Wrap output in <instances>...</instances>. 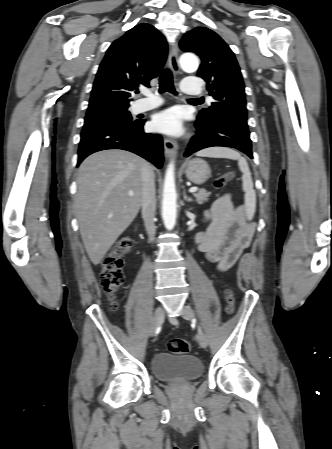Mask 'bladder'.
Listing matches in <instances>:
<instances>
[{"label": "bladder", "mask_w": 332, "mask_h": 449, "mask_svg": "<svg viewBox=\"0 0 332 449\" xmlns=\"http://www.w3.org/2000/svg\"><path fill=\"white\" fill-rule=\"evenodd\" d=\"M151 371L162 382H188L203 374V365L192 355L158 353L152 358Z\"/></svg>", "instance_id": "31cf9c89"}]
</instances>
